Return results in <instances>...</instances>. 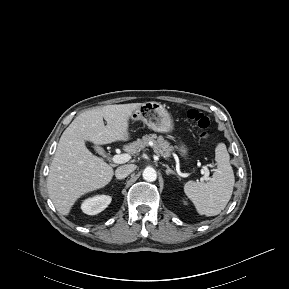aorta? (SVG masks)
Here are the masks:
<instances>
[{"mask_svg":"<svg viewBox=\"0 0 289 289\" xmlns=\"http://www.w3.org/2000/svg\"><path fill=\"white\" fill-rule=\"evenodd\" d=\"M143 178L144 180L149 182L155 181L157 179V173L155 169L152 167L145 168V170L143 171Z\"/></svg>","mask_w":289,"mask_h":289,"instance_id":"762f6f07","label":"aorta"}]
</instances>
